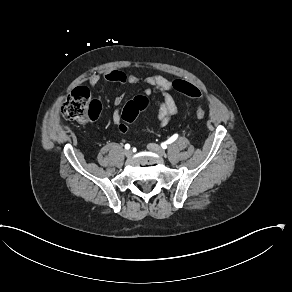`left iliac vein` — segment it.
<instances>
[{"label": "left iliac vein", "mask_w": 292, "mask_h": 292, "mask_svg": "<svg viewBox=\"0 0 292 292\" xmlns=\"http://www.w3.org/2000/svg\"><path fill=\"white\" fill-rule=\"evenodd\" d=\"M148 150L156 153L157 155L164 157L166 155L165 150L163 148H161L160 146H158L157 144L154 143H149L147 145Z\"/></svg>", "instance_id": "obj_1"}]
</instances>
